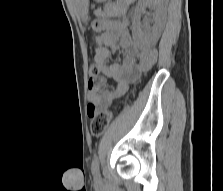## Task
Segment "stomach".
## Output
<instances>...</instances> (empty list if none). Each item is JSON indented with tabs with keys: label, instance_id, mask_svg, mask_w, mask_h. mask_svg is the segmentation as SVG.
<instances>
[{
	"label": "stomach",
	"instance_id": "obj_1",
	"mask_svg": "<svg viewBox=\"0 0 223 191\" xmlns=\"http://www.w3.org/2000/svg\"><path fill=\"white\" fill-rule=\"evenodd\" d=\"M77 10L82 18H86L89 9V0H74ZM103 1V0H97Z\"/></svg>",
	"mask_w": 223,
	"mask_h": 191
}]
</instances>
